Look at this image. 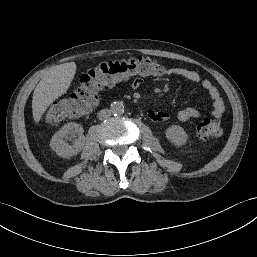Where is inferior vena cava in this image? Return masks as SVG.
Returning <instances> with one entry per match:
<instances>
[{"mask_svg": "<svg viewBox=\"0 0 257 257\" xmlns=\"http://www.w3.org/2000/svg\"><path fill=\"white\" fill-rule=\"evenodd\" d=\"M111 116V111L109 109H103L98 112V117L100 120L107 119Z\"/></svg>", "mask_w": 257, "mask_h": 257, "instance_id": "inferior-vena-cava-1", "label": "inferior vena cava"}]
</instances>
